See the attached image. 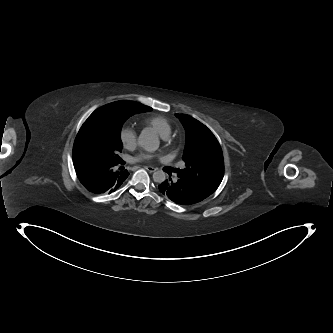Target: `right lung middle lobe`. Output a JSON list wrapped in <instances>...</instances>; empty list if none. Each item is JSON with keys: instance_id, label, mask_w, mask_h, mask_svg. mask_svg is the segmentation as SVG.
<instances>
[{"instance_id": "1", "label": "right lung middle lobe", "mask_w": 333, "mask_h": 333, "mask_svg": "<svg viewBox=\"0 0 333 333\" xmlns=\"http://www.w3.org/2000/svg\"><path fill=\"white\" fill-rule=\"evenodd\" d=\"M137 110L110 103L94 111L80 128L73 147L74 159L118 163L122 150L121 128Z\"/></svg>"}]
</instances>
